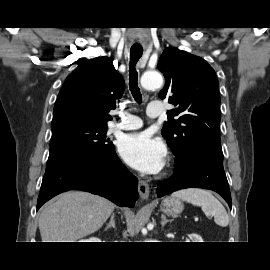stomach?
I'll use <instances>...</instances> for the list:
<instances>
[{
	"instance_id": "stomach-1",
	"label": "stomach",
	"mask_w": 270,
	"mask_h": 270,
	"mask_svg": "<svg viewBox=\"0 0 270 270\" xmlns=\"http://www.w3.org/2000/svg\"><path fill=\"white\" fill-rule=\"evenodd\" d=\"M160 208L163 213L178 215L183 211L184 205L178 198L167 197L161 203Z\"/></svg>"
}]
</instances>
